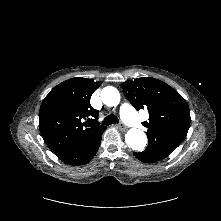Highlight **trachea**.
Listing matches in <instances>:
<instances>
[{"instance_id": "obj_1", "label": "trachea", "mask_w": 221, "mask_h": 221, "mask_svg": "<svg viewBox=\"0 0 221 221\" xmlns=\"http://www.w3.org/2000/svg\"><path fill=\"white\" fill-rule=\"evenodd\" d=\"M119 120L117 118V116L110 114L108 115L103 121H102V125H111V124H118Z\"/></svg>"}]
</instances>
